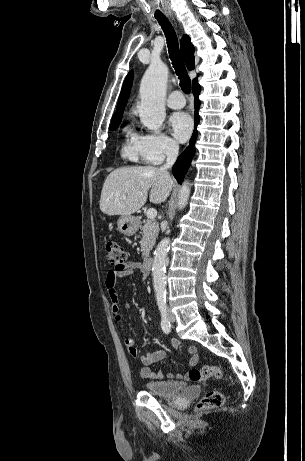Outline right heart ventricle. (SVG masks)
<instances>
[{
    "instance_id": "e07e8e85",
    "label": "right heart ventricle",
    "mask_w": 305,
    "mask_h": 461,
    "mask_svg": "<svg viewBox=\"0 0 305 461\" xmlns=\"http://www.w3.org/2000/svg\"><path fill=\"white\" fill-rule=\"evenodd\" d=\"M124 133L126 139L121 150L123 157L132 162H139L142 158L139 146V136L129 127L125 128Z\"/></svg>"
}]
</instances>
